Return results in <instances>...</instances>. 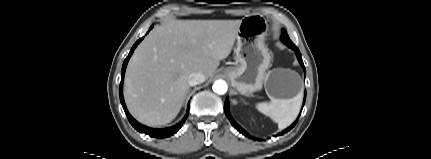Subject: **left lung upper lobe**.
<instances>
[{
  "label": "left lung upper lobe",
  "instance_id": "left-lung-upper-lobe-1",
  "mask_svg": "<svg viewBox=\"0 0 431 159\" xmlns=\"http://www.w3.org/2000/svg\"><path fill=\"white\" fill-rule=\"evenodd\" d=\"M282 39L287 45H294L293 42H291V40L289 39V37L285 31H283Z\"/></svg>",
  "mask_w": 431,
  "mask_h": 159
}]
</instances>
